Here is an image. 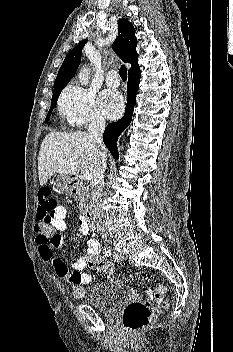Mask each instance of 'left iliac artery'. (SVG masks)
Returning <instances> with one entry per match:
<instances>
[{
	"label": "left iliac artery",
	"mask_w": 233,
	"mask_h": 352,
	"mask_svg": "<svg viewBox=\"0 0 233 352\" xmlns=\"http://www.w3.org/2000/svg\"><path fill=\"white\" fill-rule=\"evenodd\" d=\"M113 257H114L115 260H117V261L119 260L118 254L114 253Z\"/></svg>",
	"instance_id": "left-iliac-artery-1"
}]
</instances>
